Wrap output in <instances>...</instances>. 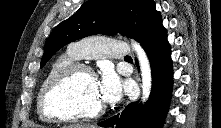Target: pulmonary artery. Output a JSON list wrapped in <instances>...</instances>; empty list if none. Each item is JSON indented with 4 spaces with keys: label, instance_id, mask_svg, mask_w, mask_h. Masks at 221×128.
I'll list each match as a JSON object with an SVG mask.
<instances>
[{
    "label": "pulmonary artery",
    "instance_id": "obj_1",
    "mask_svg": "<svg viewBox=\"0 0 221 128\" xmlns=\"http://www.w3.org/2000/svg\"><path fill=\"white\" fill-rule=\"evenodd\" d=\"M69 50L78 58L109 55L121 60H127L130 57V51L124 41L102 39L95 36L84 37L71 43Z\"/></svg>",
    "mask_w": 221,
    "mask_h": 128
}]
</instances>
